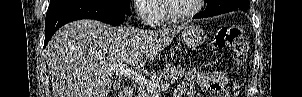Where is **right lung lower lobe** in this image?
<instances>
[{
	"label": "right lung lower lobe",
	"instance_id": "right-lung-lower-lobe-1",
	"mask_svg": "<svg viewBox=\"0 0 302 97\" xmlns=\"http://www.w3.org/2000/svg\"><path fill=\"white\" fill-rule=\"evenodd\" d=\"M126 15L111 5L99 2H78L49 8L45 21L44 47L61 26L71 21L95 19L116 26L124 22Z\"/></svg>",
	"mask_w": 302,
	"mask_h": 97
}]
</instances>
